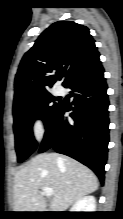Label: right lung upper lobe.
Returning <instances> with one entry per match:
<instances>
[{"instance_id": "cb5924a9", "label": "right lung upper lobe", "mask_w": 123, "mask_h": 219, "mask_svg": "<svg viewBox=\"0 0 123 219\" xmlns=\"http://www.w3.org/2000/svg\"><path fill=\"white\" fill-rule=\"evenodd\" d=\"M99 57L86 26L58 21L47 28L23 56L15 77L14 104L45 93L64 78L63 85Z\"/></svg>"}]
</instances>
